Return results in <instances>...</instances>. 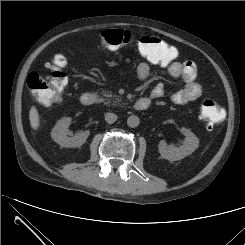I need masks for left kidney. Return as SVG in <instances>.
Returning a JSON list of instances; mask_svg holds the SVG:
<instances>
[{"instance_id":"left-kidney-1","label":"left kidney","mask_w":245,"mask_h":245,"mask_svg":"<svg viewBox=\"0 0 245 245\" xmlns=\"http://www.w3.org/2000/svg\"><path fill=\"white\" fill-rule=\"evenodd\" d=\"M181 132L185 136V141L179 147L168 145L164 140L160 141L158 150L162 158L169 161L181 160L192 154L198 148L199 139L194 133L185 127L181 128Z\"/></svg>"}]
</instances>
